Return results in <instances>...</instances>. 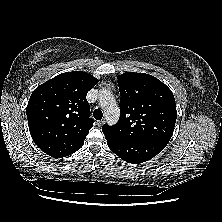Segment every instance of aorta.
I'll use <instances>...</instances> for the list:
<instances>
[{
    "mask_svg": "<svg viewBox=\"0 0 222 222\" xmlns=\"http://www.w3.org/2000/svg\"><path fill=\"white\" fill-rule=\"evenodd\" d=\"M99 102L103 109L107 123L112 126L119 119V107L112 93L109 90L102 89L99 91Z\"/></svg>",
    "mask_w": 222,
    "mask_h": 222,
    "instance_id": "aorta-1",
    "label": "aorta"
}]
</instances>
